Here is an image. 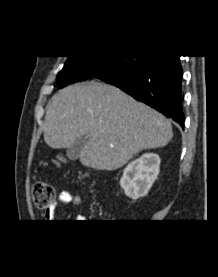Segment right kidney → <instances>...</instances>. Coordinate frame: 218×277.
<instances>
[{
	"mask_svg": "<svg viewBox=\"0 0 218 277\" xmlns=\"http://www.w3.org/2000/svg\"><path fill=\"white\" fill-rule=\"evenodd\" d=\"M160 162L159 156L154 153H145L130 162L120 179L125 195L132 199L145 196L159 174Z\"/></svg>",
	"mask_w": 218,
	"mask_h": 277,
	"instance_id": "ca27d5eb",
	"label": "right kidney"
}]
</instances>
